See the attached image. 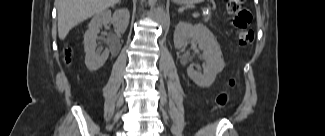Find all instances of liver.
Wrapping results in <instances>:
<instances>
[{
  "label": "liver",
  "mask_w": 325,
  "mask_h": 136,
  "mask_svg": "<svg viewBox=\"0 0 325 136\" xmlns=\"http://www.w3.org/2000/svg\"><path fill=\"white\" fill-rule=\"evenodd\" d=\"M120 0H55L58 13V35L65 39L69 31L92 17L118 3Z\"/></svg>",
  "instance_id": "liver-1"
}]
</instances>
